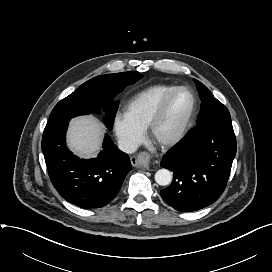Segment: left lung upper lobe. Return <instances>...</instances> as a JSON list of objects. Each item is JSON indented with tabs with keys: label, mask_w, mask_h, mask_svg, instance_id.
I'll return each instance as SVG.
<instances>
[{
	"label": "left lung upper lobe",
	"mask_w": 272,
	"mask_h": 272,
	"mask_svg": "<svg viewBox=\"0 0 272 272\" xmlns=\"http://www.w3.org/2000/svg\"><path fill=\"white\" fill-rule=\"evenodd\" d=\"M194 82L202 101L197 125L222 117H230L228 109L213 96L205 85L198 80H194Z\"/></svg>",
	"instance_id": "obj_1"
}]
</instances>
